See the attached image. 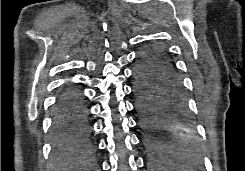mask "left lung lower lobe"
Segmentation results:
<instances>
[{"mask_svg": "<svg viewBox=\"0 0 245 171\" xmlns=\"http://www.w3.org/2000/svg\"><path fill=\"white\" fill-rule=\"evenodd\" d=\"M152 51V61L130 62L135 67L139 107L146 128L144 145L150 167H183L188 155L154 133L155 128H166L172 133L186 130L188 105L182 77L170 54L158 44ZM168 156V157H162Z\"/></svg>", "mask_w": 245, "mask_h": 171, "instance_id": "left-lung-lower-lobe-1", "label": "left lung lower lobe"}]
</instances>
